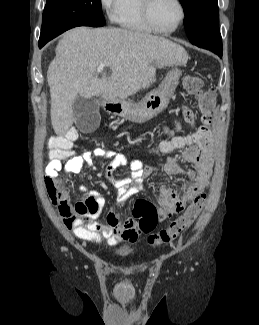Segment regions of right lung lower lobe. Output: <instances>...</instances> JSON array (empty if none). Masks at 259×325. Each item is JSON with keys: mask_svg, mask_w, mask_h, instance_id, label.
Instances as JSON below:
<instances>
[{"mask_svg": "<svg viewBox=\"0 0 259 325\" xmlns=\"http://www.w3.org/2000/svg\"><path fill=\"white\" fill-rule=\"evenodd\" d=\"M46 43L43 42V43H39V48H42Z\"/></svg>", "mask_w": 259, "mask_h": 325, "instance_id": "98d812e1", "label": "right lung lower lobe"}]
</instances>
